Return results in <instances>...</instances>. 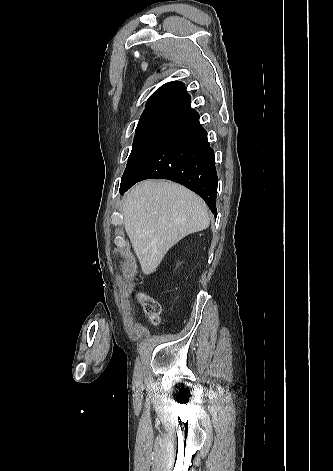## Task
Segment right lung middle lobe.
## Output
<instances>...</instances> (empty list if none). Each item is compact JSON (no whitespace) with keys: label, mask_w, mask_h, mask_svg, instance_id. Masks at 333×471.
<instances>
[{"label":"right lung middle lobe","mask_w":333,"mask_h":471,"mask_svg":"<svg viewBox=\"0 0 333 471\" xmlns=\"http://www.w3.org/2000/svg\"><path fill=\"white\" fill-rule=\"evenodd\" d=\"M175 122V120L166 118L141 117L136 128L133 148L129 156L126 169L158 135Z\"/></svg>","instance_id":"right-lung-middle-lobe-1"}]
</instances>
